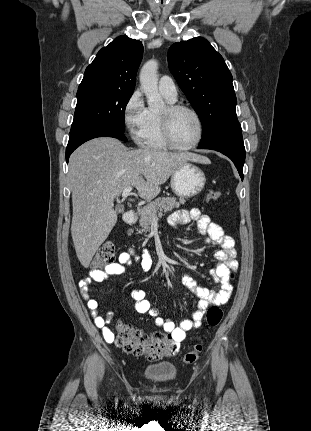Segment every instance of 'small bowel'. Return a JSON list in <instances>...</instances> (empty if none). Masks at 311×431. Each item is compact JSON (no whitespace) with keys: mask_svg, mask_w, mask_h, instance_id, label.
I'll list each match as a JSON object with an SVG mask.
<instances>
[{"mask_svg":"<svg viewBox=\"0 0 311 431\" xmlns=\"http://www.w3.org/2000/svg\"><path fill=\"white\" fill-rule=\"evenodd\" d=\"M189 222L196 223L200 233L206 236L207 242L220 247V250L215 253L218 263L210 273L212 279L218 283V288L208 289L200 287L189 276L184 275L182 277L183 284L191 289L199 297L200 301L192 317L184 319L178 326L171 319L159 316V310L151 305L144 290L134 289L130 294L134 301L136 312L149 314L153 317L155 324L161 327L177 345L185 339L188 331L201 325L203 316L210 305H223L229 300L233 289L229 283V277L238 266L234 239L226 235L222 227L212 222L209 216L202 214L199 209L194 208L191 210L176 211L169 217V223L174 228ZM134 261L139 262L145 272L149 271L153 264L149 253L144 252L141 256H138L135 255L133 249H129L119 255L117 262L111 263L101 270H91L87 277L79 282L82 297L90 310L94 323L101 330L105 341L108 343L114 341V334L109 327L113 315L112 313H108L103 317L99 314L98 302L91 298L90 294L92 290L89 285L92 281L103 282L112 276L123 274L126 268L131 266Z\"/></svg>","mask_w":311,"mask_h":431,"instance_id":"obj_1","label":"small bowel"}]
</instances>
